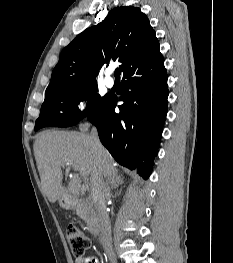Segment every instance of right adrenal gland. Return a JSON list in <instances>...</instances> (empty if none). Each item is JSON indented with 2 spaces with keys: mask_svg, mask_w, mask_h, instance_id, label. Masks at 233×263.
Listing matches in <instances>:
<instances>
[{
  "mask_svg": "<svg viewBox=\"0 0 233 263\" xmlns=\"http://www.w3.org/2000/svg\"><path fill=\"white\" fill-rule=\"evenodd\" d=\"M122 184H124V178L121 175L117 176L116 179L111 182L113 188H117L119 185Z\"/></svg>",
  "mask_w": 233,
  "mask_h": 263,
  "instance_id": "right-adrenal-gland-1",
  "label": "right adrenal gland"
}]
</instances>
